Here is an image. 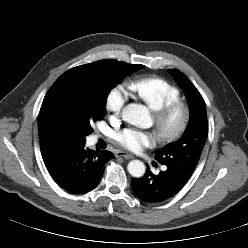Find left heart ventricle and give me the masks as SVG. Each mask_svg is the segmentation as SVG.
I'll return each instance as SVG.
<instances>
[{"instance_id": "b2bd125f", "label": "left heart ventricle", "mask_w": 248, "mask_h": 248, "mask_svg": "<svg viewBox=\"0 0 248 248\" xmlns=\"http://www.w3.org/2000/svg\"><path fill=\"white\" fill-rule=\"evenodd\" d=\"M180 120V113L175 114L167 124L168 129L174 128Z\"/></svg>"}]
</instances>
